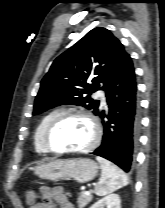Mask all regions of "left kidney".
<instances>
[{
    "label": "left kidney",
    "mask_w": 165,
    "mask_h": 208,
    "mask_svg": "<svg viewBox=\"0 0 165 208\" xmlns=\"http://www.w3.org/2000/svg\"><path fill=\"white\" fill-rule=\"evenodd\" d=\"M90 208H121V201L118 194H110L96 203Z\"/></svg>",
    "instance_id": "5707ae66"
}]
</instances>
